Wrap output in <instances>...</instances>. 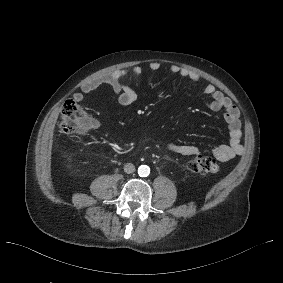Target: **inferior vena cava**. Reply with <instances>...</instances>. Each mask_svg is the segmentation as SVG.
<instances>
[{
  "label": "inferior vena cava",
  "mask_w": 283,
  "mask_h": 283,
  "mask_svg": "<svg viewBox=\"0 0 283 283\" xmlns=\"http://www.w3.org/2000/svg\"><path fill=\"white\" fill-rule=\"evenodd\" d=\"M124 171L128 174L133 173L135 171V166L131 163H128L124 166Z\"/></svg>",
  "instance_id": "602c4592"
}]
</instances>
